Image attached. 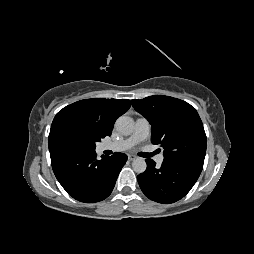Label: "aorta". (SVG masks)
Masks as SVG:
<instances>
[{"label": "aorta", "instance_id": "obj_1", "mask_svg": "<svg viewBox=\"0 0 254 254\" xmlns=\"http://www.w3.org/2000/svg\"><path fill=\"white\" fill-rule=\"evenodd\" d=\"M115 127L119 133L129 135L133 132L134 121L131 117L123 115L116 120ZM132 168L138 174L145 172L147 164L144 158L139 157L134 159L132 162Z\"/></svg>", "mask_w": 254, "mask_h": 254}]
</instances>
